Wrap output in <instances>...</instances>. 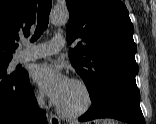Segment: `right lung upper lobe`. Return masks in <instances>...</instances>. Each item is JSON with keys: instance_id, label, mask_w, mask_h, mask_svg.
Returning a JSON list of instances; mask_svg holds the SVG:
<instances>
[{"instance_id": "1", "label": "right lung upper lobe", "mask_w": 156, "mask_h": 124, "mask_svg": "<svg viewBox=\"0 0 156 124\" xmlns=\"http://www.w3.org/2000/svg\"><path fill=\"white\" fill-rule=\"evenodd\" d=\"M38 0H0V60L12 59L19 34L28 36Z\"/></svg>"}]
</instances>
